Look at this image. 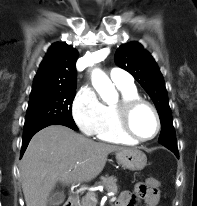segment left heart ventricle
I'll return each instance as SVG.
<instances>
[{"label":"left heart ventricle","instance_id":"obj_1","mask_svg":"<svg viewBox=\"0 0 197 206\" xmlns=\"http://www.w3.org/2000/svg\"><path fill=\"white\" fill-rule=\"evenodd\" d=\"M131 125L134 132L140 137H150L156 129V120L147 107H139L132 115Z\"/></svg>","mask_w":197,"mask_h":206}]
</instances>
